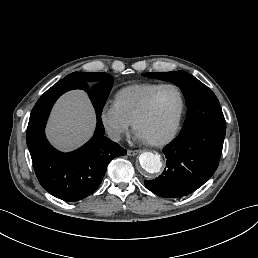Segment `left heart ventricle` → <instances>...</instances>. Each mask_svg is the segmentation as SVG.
Returning a JSON list of instances; mask_svg holds the SVG:
<instances>
[{
    "label": "left heart ventricle",
    "mask_w": 258,
    "mask_h": 258,
    "mask_svg": "<svg viewBox=\"0 0 258 258\" xmlns=\"http://www.w3.org/2000/svg\"><path fill=\"white\" fill-rule=\"evenodd\" d=\"M179 110L175 90L161 89L153 98L147 116L140 122V134L150 138H163L173 130Z\"/></svg>",
    "instance_id": "left-heart-ventricle-1"
}]
</instances>
